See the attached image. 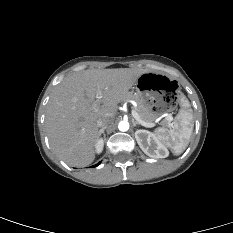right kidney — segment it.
<instances>
[{"label": "right kidney", "instance_id": "right-kidney-1", "mask_svg": "<svg viewBox=\"0 0 233 233\" xmlns=\"http://www.w3.org/2000/svg\"><path fill=\"white\" fill-rule=\"evenodd\" d=\"M103 146H104V141L101 139H98L96 144H95V152L97 154H100L103 150Z\"/></svg>", "mask_w": 233, "mask_h": 233}]
</instances>
